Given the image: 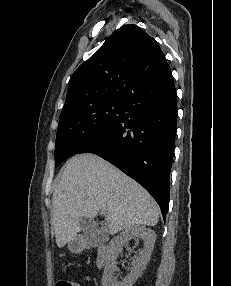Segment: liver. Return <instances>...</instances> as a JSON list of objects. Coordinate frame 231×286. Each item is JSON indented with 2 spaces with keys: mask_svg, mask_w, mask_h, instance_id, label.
I'll list each match as a JSON object with an SVG mask.
<instances>
[{
  "mask_svg": "<svg viewBox=\"0 0 231 286\" xmlns=\"http://www.w3.org/2000/svg\"><path fill=\"white\" fill-rule=\"evenodd\" d=\"M52 207L59 248L76 238L81 217L94 218L102 208L110 234L132 226H154L160 213L141 185L95 154H78L65 164Z\"/></svg>",
  "mask_w": 231,
  "mask_h": 286,
  "instance_id": "obj_1",
  "label": "liver"
}]
</instances>
